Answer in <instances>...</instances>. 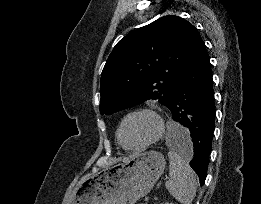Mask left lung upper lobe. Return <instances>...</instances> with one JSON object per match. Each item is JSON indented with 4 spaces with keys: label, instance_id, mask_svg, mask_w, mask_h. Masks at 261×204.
<instances>
[{
    "label": "left lung upper lobe",
    "instance_id": "1",
    "mask_svg": "<svg viewBox=\"0 0 261 204\" xmlns=\"http://www.w3.org/2000/svg\"><path fill=\"white\" fill-rule=\"evenodd\" d=\"M198 35L188 21L169 15L122 38L101 74V114L148 99L168 108Z\"/></svg>",
    "mask_w": 261,
    "mask_h": 204
}]
</instances>
